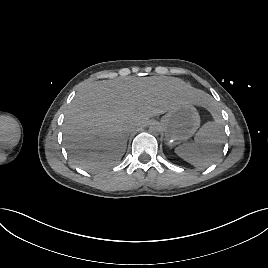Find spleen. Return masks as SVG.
I'll list each match as a JSON object with an SVG mask.
<instances>
[{
    "label": "spleen",
    "instance_id": "spleen-1",
    "mask_svg": "<svg viewBox=\"0 0 268 268\" xmlns=\"http://www.w3.org/2000/svg\"><path fill=\"white\" fill-rule=\"evenodd\" d=\"M213 121L206 122L196 133L192 144L180 145L176 154L197 167L204 169L212 165L222 152L223 120L218 112H213Z\"/></svg>",
    "mask_w": 268,
    "mask_h": 268
}]
</instances>
